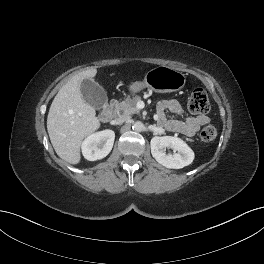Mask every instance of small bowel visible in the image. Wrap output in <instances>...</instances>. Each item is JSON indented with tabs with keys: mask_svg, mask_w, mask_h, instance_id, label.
I'll return each instance as SVG.
<instances>
[{
	"mask_svg": "<svg viewBox=\"0 0 264 264\" xmlns=\"http://www.w3.org/2000/svg\"><path fill=\"white\" fill-rule=\"evenodd\" d=\"M166 111L178 116H183V110L179 102L174 99L160 101L157 106V121L168 131L180 133L189 137L194 136L201 126L210 121L207 115L190 116L183 119H170L166 116Z\"/></svg>",
	"mask_w": 264,
	"mask_h": 264,
	"instance_id": "obj_1",
	"label": "small bowel"
}]
</instances>
